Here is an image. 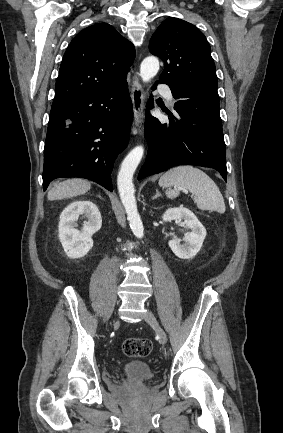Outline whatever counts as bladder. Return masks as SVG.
<instances>
[{"mask_svg": "<svg viewBox=\"0 0 283 433\" xmlns=\"http://www.w3.org/2000/svg\"><path fill=\"white\" fill-rule=\"evenodd\" d=\"M122 373L128 378L134 377L141 380H151L154 376L151 364L141 362H130L122 368Z\"/></svg>", "mask_w": 283, "mask_h": 433, "instance_id": "bladder-1", "label": "bladder"}]
</instances>
